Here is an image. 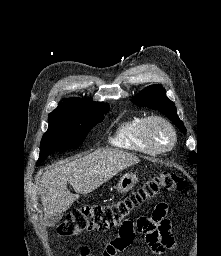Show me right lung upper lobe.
<instances>
[{"instance_id":"obj_1","label":"right lung upper lobe","mask_w":221,"mask_h":256,"mask_svg":"<svg viewBox=\"0 0 221 256\" xmlns=\"http://www.w3.org/2000/svg\"><path fill=\"white\" fill-rule=\"evenodd\" d=\"M93 101L88 99H81V98H69L63 99L59 106L50 114H67V113H74L79 108L92 103Z\"/></svg>"}]
</instances>
